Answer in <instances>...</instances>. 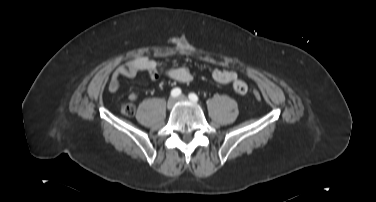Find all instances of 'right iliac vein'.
<instances>
[{
  "label": "right iliac vein",
  "instance_id": "63e3f726",
  "mask_svg": "<svg viewBox=\"0 0 376 202\" xmlns=\"http://www.w3.org/2000/svg\"><path fill=\"white\" fill-rule=\"evenodd\" d=\"M175 103H176V100H175V98H169V100H168V102H167V108L168 109H171V108H173V106L175 105Z\"/></svg>",
  "mask_w": 376,
  "mask_h": 202
}]
</instances>
